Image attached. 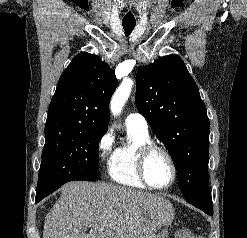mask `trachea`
I'll return each instance as SVG.
<instances>
[{
    "label": "trachea",
    "instance_id": "3493384b",
    "mask_svg": "<svg viewBox=\"0 0 247 238\" xmlns=\"http://www.w3.org/2000/svg\"><path fill=\"white\" fill-rule=\"evenodd\" d=\"M122 25H123L125 34L128 36L133 31L136 25V22L135 21H122Z\"/></svg>",
    "mask_w": 247,
    "mask_h": 238
}]
</instances>
